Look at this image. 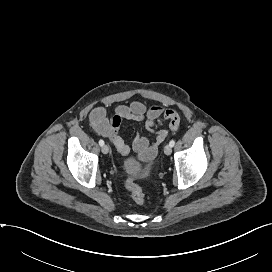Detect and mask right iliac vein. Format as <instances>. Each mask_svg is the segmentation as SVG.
Segmentation results:
<instances>
[{
    "mask_svg": "<svg viewBox=\"0 0 272 272\" xmlns=\"http://www.w3.org/2000/svg\"><path fill=\"white\" fill-rule=\"evenodd\" d=\"M101 150H102V153H103V154H107V153L109 152V147H108V145H103L102 148H101Z\"/></svg>",
    "mask_w": 272,
    "mask_h": 272,
    "instance_id": "63e3f726",
    "label": "right iliac vein"
}]
</instances>
